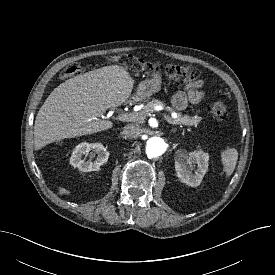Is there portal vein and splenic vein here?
Returning a JSON list of instances; mask_svg holds the SVG:
<instances>
[{
	"label": "portal vein and splenic vein",
	"instance_id": "portal-vein-and-splenic-vein-1",
	"mask_svg": "<svg viewBox=\"0 0 275 275\" xmlns=\"http://www.w3.org/2000/svg\"><path fill=\"white\" fill-rule=\"evenodd\" d=\"M138 114L139 113H137V114H133V113H125V114H120L118 117H117V119L118 120H120V121H133V120H136L137 119V117H138ZM165 118V120L168 122V123H170V124H175V123H173L170 119H169V117H164Z\"/></svg>",
	"mask_w": 275,
	"mask_h": 275
}]
</instances>
